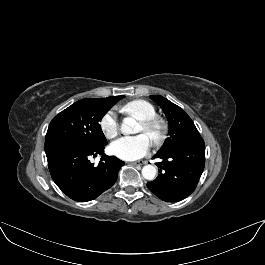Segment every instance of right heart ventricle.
<instances>
[{
    "label": "right heart ventricle",
    "instance_id": "1",
    "mask_svg": "<svg viewBox=\"0 0 265 265\" xmlns=\"http://www.w3.org/2000/svg\"><path fill=\"white\" fill-rule=\"evenodd\" d=\"M122 111L132 114L140 120L156 117L157 114L154 105L142 99H136L126 103L122 107Z\"/></svg>",
    "mask_w": 265,
    "mask_h": 265
}]
</instances>
